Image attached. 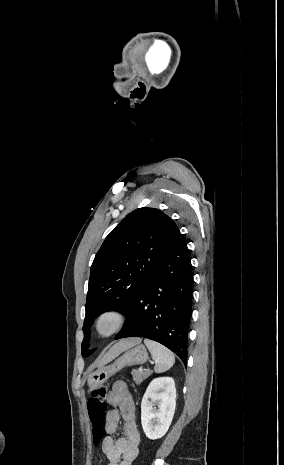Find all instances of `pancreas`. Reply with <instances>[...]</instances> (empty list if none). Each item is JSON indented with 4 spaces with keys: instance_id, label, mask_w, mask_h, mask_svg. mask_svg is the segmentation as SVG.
<instances>
[{
    "instance_id": "1",
    "label": "pancreas",
    "mask_w": 284,
    "mask_h": 465,
    "mask_svg": "<svg viewBox=\"0 0 284 465\" xmlns=\"http://www.w3.org/2000/svg\"><path fill=\"white\" fill-rule=\"evenodd\" d=\"M152 373L153 371H146V373H139V371H132L133 379L136 385H140V383H142V381H145L147 377H150Z\"/></svg>"
}]
</instances>
